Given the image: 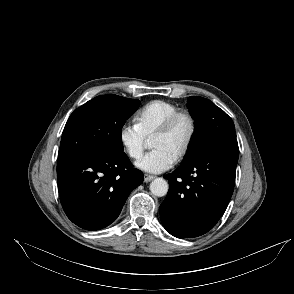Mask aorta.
Returning <instances> with one entry per match:
<instances>
[{"label":"aorta","mask_w":294,"mask_h":294,"mask_svg":"<svg viewBox=\"0 0 294 294\" xmlns=\"http://www.w3.org/2000/svg\"><path fill=\"white\" fill-rule=\"evenodd\" d=\"M169 185L163 178H156L150 183V191L153 195L163 197L167 194Z\"/></svg>","instance_id":"762f6f07"}]
</instances>
